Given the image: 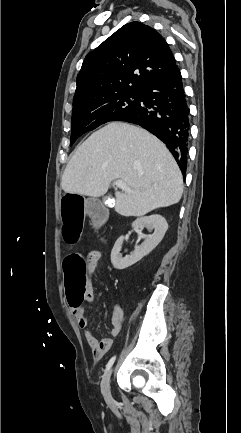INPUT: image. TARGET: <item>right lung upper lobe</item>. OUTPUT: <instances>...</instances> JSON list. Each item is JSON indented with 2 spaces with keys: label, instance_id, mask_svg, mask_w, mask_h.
I'll return each instance as SVG.
<instances>
[{
  "label": "right lung upper lobe",
  "instance_id": "1",
  "mask_svg": "<svg viewBox=\"0 0 241 433\" xmlns=\"http://www.w3.org/2000/svg\"><path fill=\"white\" fill-rule=\"evenodd\" d=\"M175 66L173 53L156 30L137 21L125 24L85 57L73 104L141 91Z\"/></svg>",
  "mask_w": 241,
  "mask_h": 433
}]
</instances>
